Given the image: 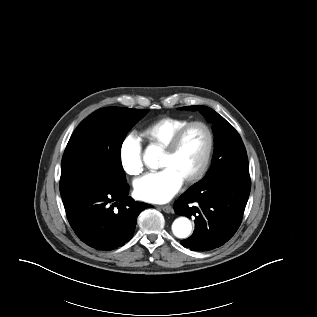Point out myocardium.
<instances>
[{
    "label": "myocardium",
    "mask_w": 317,
    "mask_h": 317,
    "mask_svg": "<svg viewBox=\"0 0 317 317\" xmlns=\"http://www.w3.org/2000/svg\"><path fill=\"white\" fill-rule=\"evenodd\" d=\"M194 126H200L202 127L208 136V145H207V150L204 156V159L199 167V169L190 177L184 180L186 184H195L199 182L206 174L208 171V168L210 166L213 152H214V146H215V138H214V133L206 122L202 120H195V121H190L186 125H184L181 129H179L174 136L171 138L170 142L167 144V146L163 149V152L167 155H174L181 143L182 140L185 136V134L188 132V130Z\"/></svg>",
    "instance_id": "f54148a6"
}]
</instances>
